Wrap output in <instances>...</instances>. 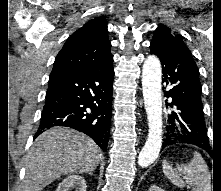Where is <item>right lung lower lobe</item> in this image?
<instances>
[{
	"mask_svg": "<svg viewBox=\"0 0 221 191\" xmlns=\"http://www.w3.org/2000/svg\"><path fill=\"white\" fill-rule=\"evenodd\" d=\"M113 65L50 77L40 127L34 139L54 126L76 129L106 150L109 141Z\"/></svg>",
	"mask_w": 221,
	"mask_h": 191,
	"instance_id": "1",
	"label": "right lung lower lobe"
}]
</instances>
